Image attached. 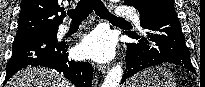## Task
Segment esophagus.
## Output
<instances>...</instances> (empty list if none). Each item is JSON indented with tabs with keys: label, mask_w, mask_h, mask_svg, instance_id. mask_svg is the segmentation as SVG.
Wrapping results in <instances>:
<instances>
[{
	"label": "esophagus",
	"mask_w": 205,
	"mask_h": 87,
	"mask_svg": "<svg viewBox=\"0 0 205 87\" xmlns=\"http://www.w3.org/2000/svg\"><path fill=\"white\" fill-rule=\"evenodd\" d=\"M98 69L102 73H106L110 69V65L109 64H107V65H99Z\"/></svg>",
	"instance_id": "1"
}]
</instances>
